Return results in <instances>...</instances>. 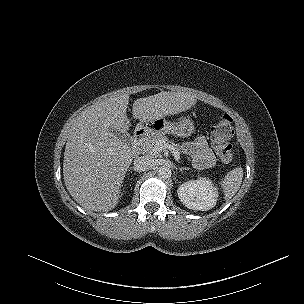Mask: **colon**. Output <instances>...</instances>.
<instances>
[{
    "label": "colon",
    "instance_id": "1",
    "mask_svg": "<svg viewBox=\"0 0 304 304\" xmlns=\"http://www.w3.org/2000/svg\"><path fill=\"white\" fill-rule=\"evenodd\" d=\"M232 133V119L229 116L221 117L211 129L212 147L224 163H230L233 160L234 150L229 143Z\"/></svg>",
    "mask_w": 304,
    "mask_h": 304
}]
</instances>
